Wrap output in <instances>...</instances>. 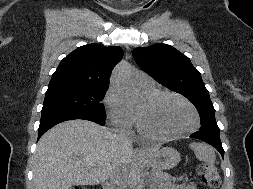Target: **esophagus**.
Segmentation results:
<instances>
[{
	"label": "esophagus",
	"mask_w": 253,
	"mask_h": 189,
	"mask_svg": "<svg viewBox=\"0 0 253 189\" xmlns=\"http://www.w3.org/2000/svg\"><path fill=\"white\" fill-rule=\"evenodd\" d=\"M135 152H136L137 154H139V155L144 154V150L141 149V148H137Z\"/></svg>",
	"instance_id": "1"
}]
</instances>
